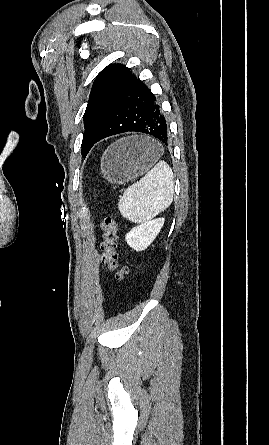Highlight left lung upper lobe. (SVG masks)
<instances>
[{
  "instance_id": "left-lung-upper-lobe-1",
  "label": "left lung upper lobe",
  "mask_w": 269,
  "mask_h": 445,
  "mask_svg": "<svg viewBox=\"0 0 269 445\" xmlns=\"http://www.w3.org/2000/svg\"><path fill=\"white\" fill-rule=\"evenodd\" d=\"M131 76L130 68L122 64H111L96 77L84 114L83 157H86L95 138L114 111Z\"/></svg>"
}]
</instances>
